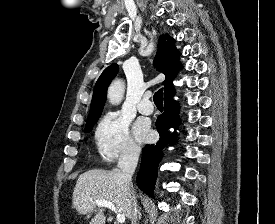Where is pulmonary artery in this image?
Segmentation results:
<instances>
[{"instance_id": "pulmonary-artery-1", "label": "pulmonary artery", "mask_w": 275, "mask_h": 224, "mask_svg": "<svg viewBox=\"0 0 275 224\" xmlns=\"http://www.w3.org/2000/svg\"><path fill=\"white\" fill-rule=\"evenodd\" d=\"M138 111L142 114L145 115H150L154 111V107L152 102L150 101V97L148 94H145L141 101L139 102L138 106Z\"/></svg>"}]
</instances>
